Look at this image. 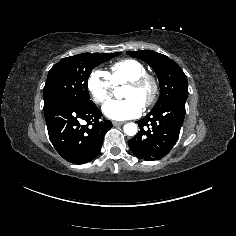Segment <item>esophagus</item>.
I'll list each match as a JSON object with an SVG mask.
<instances>
[{"mask_svg":"<svg viewBox=\"0 0 236 236\" xmlns=\"http://www.w3.org/2000/svg\"><path fill=\"white\" fill-rule=\"evenodd\" d=\"M125 122L122 121H113V125L117 126V125H123Z\"/></svg>","mask_w":236,"mask_h":236,"instance_id":"34e87169","label":"esophagus"}]
</instances>
